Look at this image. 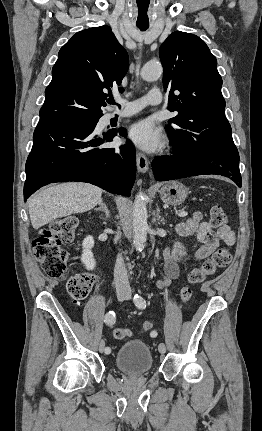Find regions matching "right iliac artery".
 <instances>
[{
	"label": "right iliac artery",
	"mask_w": 262,
	"mask_h": 431,
	"mask_svg": "<svg viewBox=\"0 0 262 431\" xmlns=\"http://www.w3.org/2000/svg\"><path fill=\"white\" fill-rule=\"evenodd\" d=\"M116 321V315L114 311H109L105 316H104V322L106 325L111 326L115 323ZM111 350L110 348H106V352L109 353Z\"/></svg>",
	"instance_id": "82829eb1"
}]
</instances>
